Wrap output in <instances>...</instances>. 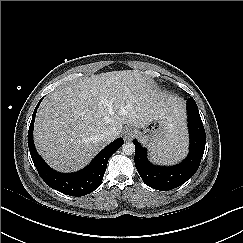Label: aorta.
Returning a JSON list of instances; mask_svg holds the SVG:
<instances>
[{"instance_id":"obj_1","label":"aorta","mask_w":243,"mask_h":243,"mask_svg":"<svg viewBox=\"0 0 243 243\" xmlns=\"http://www.w3.org/2000/svg\"><path fill=\"white\" fill-rule=\"evenodd\" d=\"M122 151L125 155H132L135 152V145L132 142H125L122 145Z\"/></svg>"}]
</instances>
